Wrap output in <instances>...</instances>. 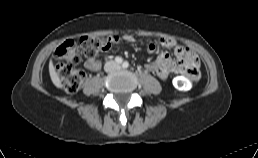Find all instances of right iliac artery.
Listing matches in <instances>:
<instances>
[{
  "label": "right iliac artery",
  "mask_w": 258,
  "mask_h": 158,
  "mask_svg": "<svg viewBox=\"0 0 258 158\" xmlns=\"http://www.w3.org/2000/svg\"><path fill=\"white\" fill-rule=\"evenodd\" d=\"M115 62L118 63V64H122L123 59L121 57H116Z\"/></svg>",
  "instance_id": "right-iliac-artery-1"
}]
</instances>
